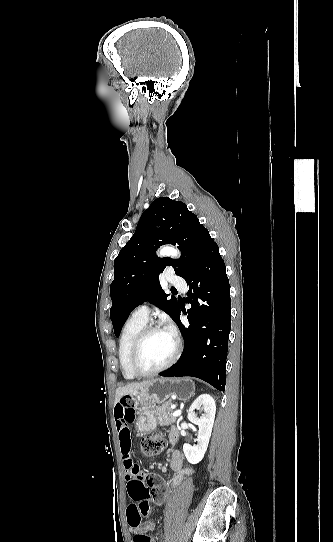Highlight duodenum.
I'll list each match as a JSON object with an SVG mask.
<instances>
[{
  "mask_svg": "<svg viewBox=\"0 0 333 542\" xmlns=\"http://www.w3.org/2000/svg\"><path fill=\"white\" fill-rule=\"evenodd\" d=\"M169 438L171 442H175L178 438V434L173 433L169 436Z\"/></svg>",
  "mask_w": 333,
  "mask_h": 542,
  "instance_id": "1",
  "label": "duodenum"
}]
</instances>
